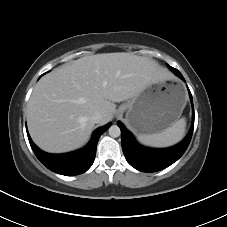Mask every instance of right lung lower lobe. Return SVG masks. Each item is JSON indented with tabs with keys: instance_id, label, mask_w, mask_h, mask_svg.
Masks as SVG:
<instances>
[{
	"instance_id": "1",
	"label": "right lung lower lobe",
	"mask_w": 227,
	"mask_h": 227,
	"mask_svg": "<svg viewBox=\"0 0 227 227\" xmlns=\"http://www.w3.org/2000/svg\"><path fill=\"white\" fill-rule=\"evenodd\" d=\"M110 127V123L95 130L88 145L81 150L66 154H49L35 146L28 132L32 150L39 161L49 170L67 176L86 172L94 162L97 143L100 136Z\"/></svg>"
}]
</instances>
